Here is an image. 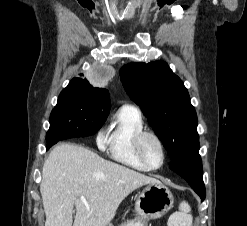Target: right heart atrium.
Instances as JSON below:
<instances>
[{
  "label": "right heart atrium",
  "mask_w": 247,
  "mask_h": 226,
  "mask_svg": "<svg viewBox=\"0 0 247 226\" xmlns=\"http://www.w3.org/2000/svg\"><path fill=\"white\" fill-rule=\"evenodd\" d=\"M97 143L99 146H104L106 144V135L103 132L98 134Z\"/></svg>",
  "instance_id": "1"
}]
</instances>
